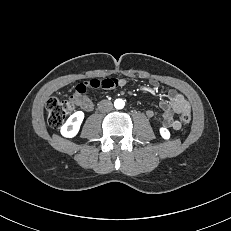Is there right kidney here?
<instances>
[{
  "label": "right kidney",
  "instance_id": "right-kidney-1",
  "mask_svg": "<svg viewBox=\"0 0 231 231\" xmlns=\"http://www.w3.org/2000/svg\"><path fill=\"white\" fill-rule=\"evenodd\" d=\"M84 119V113L82 111H77L72 114L65 124L61 127V134L64 137L72 138L77 135L80 125Z\"/></svg>",
  "mask_w": 231,
  "mask_h": 231
}]
</instances>
